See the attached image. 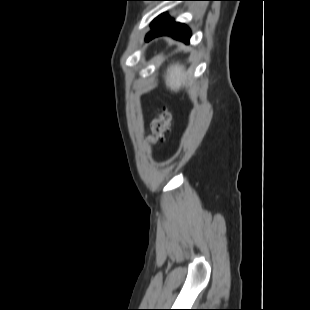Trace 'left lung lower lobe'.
<instances>
[{
    "mask_svg": "<svg viewBox=\"0 0 310 310\" xmlns=\"http://www.w3.org/2000/svg\"><path fill=\"white\" fill-rule=\"evenodd\" d=\"M169 35L174 39L181 40L185 43L189 42L191 32L189 28L181 23L172 22L170 25L163 27L146 37V41H149L155 37Z\"/></svg>",
    "mask_w": 310,
    "mask_h": 310,
    "instance_id": "left-lung-lower-lobe-1",
    "label": "left lung lower lobe"
}]
</instances>
